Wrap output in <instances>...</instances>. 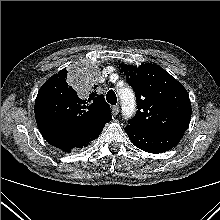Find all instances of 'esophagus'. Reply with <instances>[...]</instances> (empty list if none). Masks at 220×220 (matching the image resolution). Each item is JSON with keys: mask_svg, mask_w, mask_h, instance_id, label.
<instances>
[{"mask_svg": "<svg viewBox=\"0 0 220 220\" xmlns=\"http://www.w3.org/2000/svg\"><path fill=\"white\" fill-rule=\"evenodd\" d=\"M119 112H120L119 106H113V107H112V114H113L114 116L118 115Z\"/></svg>", "mask_w": 220, "mask_h": 220, "instance_id": "34e87169", "label": "esophagus"}]
</instances>
